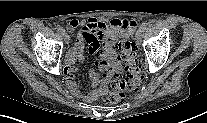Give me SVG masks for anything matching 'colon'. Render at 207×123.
<instances>
[{"label": "colon", "instance_id": "colon-1", "mask_svg": "<svg viewBox=\"0 0 207 123\" xmlns=\"http://www.w3.org/2000/svg\"><path fill=\"white\" fill-rule=\"evenodd\" d=\"M117 48L125 75L121 76L117 73L108 75L104 88L99 94L101 100L112 104L122 101L127 92L139 89L145 81L144 73L137 61L135 46L129 37L122 38Z\"/></svg>", "mask_w": 207, "mask_h": 123}]
</instances>
